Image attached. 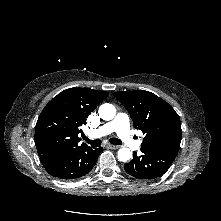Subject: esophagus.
<instances>
[{
	"mask_svg": "<svg viewBox=\"0 0 221 221\" xmlns=\"http://www.w3.org/2000/svg\"><path fill=\"white\" fill-rule=\"evenodd\" d=\"M107 147L110 148V149H118L119 148V146L112 145V144H107Z\"/></svg>",
	"mask_w": 221,
	"mask_h": 221,
	"instance_id": "esophagus-1",
	"label": "esophagus"
}]
</instances>
